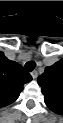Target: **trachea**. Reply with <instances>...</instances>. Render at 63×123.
Instances as JSON below:
<instances>
[{
    "label": "trachea",
    "instance_id": "1",
    "mask_svg": "<svg viewBox=\"0 0 63 123\" xmlns=\"http://www.w3.org/2000/svg\"><path fill=\"white\" fill-rule=\"evenodd\" d=\"M24 67H25L26 71L31 72L35 69L36 63L34 61H28V62H26Z\"/></svg>",
    "mask_w": 63,
    "mask_h": 123
}]
</instances>
